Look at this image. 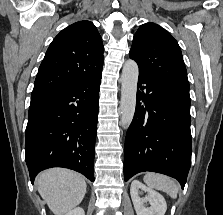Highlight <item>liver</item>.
Here are the masks:
<instances>
[{
  "label": "liver",
  "mask_w": 223,
  "mask_h": 215,
  "mask_svg": "<svg viewBox=\"0 0 223 215\" xmlns=\"http://www.w3.org/2000/svg\"><path fill=\"white\" fill-rule=\"evenodd\" d=\"M36 181L41 197L55 215H63L76 207L86 193L87 185L83 175L63 167L41 171Z\"/></svg>",
  "instance_id": "1"
}]
</instances>
